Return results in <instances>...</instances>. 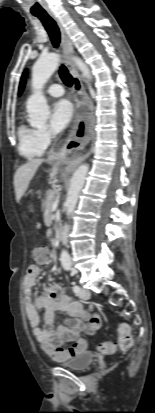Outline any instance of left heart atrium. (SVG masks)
<instances>
[{
  "label": "left heart atrium",
  "instance_id": "1",
  "mask_svg": "<svg viewBox=\"0 0 155 413\" xmlns=\"http://www.w3.org/2000/svg\"><path fill=\"white\" fill-rule=\"evenodd\" d=\"M73 117V107L67 100H60L53 105L51 126L55 132L64 130Z\"/></svg>",
  "mask_w": 155,
  "mask_h": 413
}]
</instances>
